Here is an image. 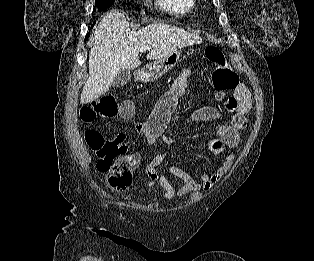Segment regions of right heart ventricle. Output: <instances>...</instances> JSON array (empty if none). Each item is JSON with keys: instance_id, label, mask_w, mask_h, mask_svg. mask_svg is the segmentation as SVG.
Returning <instances> with one entry per match:
<instances>
[{"instance_id": "right-heart-ventricle-1", "label": "right heart ventricle", "mask_w": 314, "mask_h": 261, "mask_svg": "<svg viewBox=\"0 0 314 261\" xmlns=\"http://www.w3.org/2000/svg\"><path fill=\"white\" fill-rule=\"evenodd\" d=\"M156 5L172 15L183 16L195 8V0H156Z\"/></svg>"}]
</instances>
